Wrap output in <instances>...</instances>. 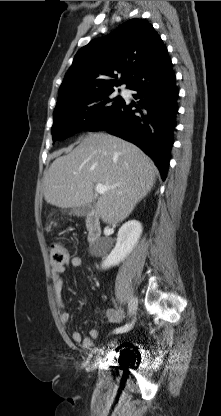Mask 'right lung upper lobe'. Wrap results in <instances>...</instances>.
<instances>
[{
  "label": "right lung upper lobe",
  "mask_w": 221,
  "mask_h": 416,
  "mask_svg": "<svg viewBox=\"0 0 221 416\" xmlns=\"http://www.w3.org/2000/svg\"><path fill=\"white\" fill-rule=\"evenodd\" d=\"M171 70L167 48L153 26L132 19L77 52L60 86L57 105L114 90L123 83L130 89Z\"/></svg>",
  "instance_id": "cb5924a9"
}]
</instances>
